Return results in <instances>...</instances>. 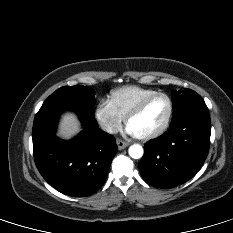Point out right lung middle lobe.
Masks as SVG:
<instances>
[{
    "mask_svg": "<svg viewBox=\"0 0 233 233\" xmlns=\"http://www.w3.org/2000/svg\"><path fill=\"white\" fill-rule=\"evenodd\" d=\"M94 104V91L91 88L82 85L65 86L52 93L39 112L52 108H70L92 114Z\"/></svg>",
    "mask_w": 233,
    "mask_h": 233,
    "instance_id": "1",
    "label": "right lung middle lobe"
}]
</instances>
